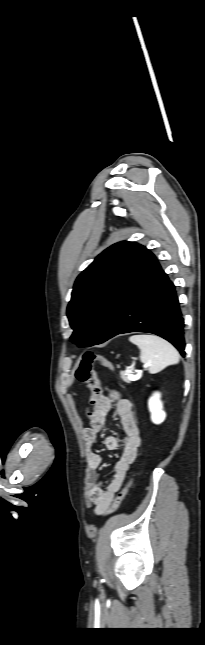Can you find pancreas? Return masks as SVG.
<instances>
[{
    "label": "pancreas",
    "mask_w": 205,
    "mask_h": 645,
    "mask_svg": "<svg viewBox=\"0 0 205 645\" xmlns=\"http://www.w3.org/2000/svg\"><path fill=\"white\" fill-rule=\"evenodd\" d=\"M120 377H121V379H122L123 381H125V382H127V383H130V382L132 381V379L129 377V375H128V374H127V372H125V371H121V372H120ZM138 378H139V377H137V379H138Z\"/></svg>",
    "instance_id": "cf45deb5"
}]
</instances>
